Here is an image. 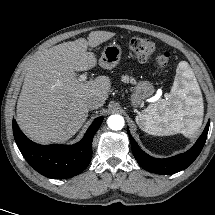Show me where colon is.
I'll return each instance as SVG.
<instances>
[{"mask_svg": "<svg viewBox=\"0 0 215 215\" xmlns=\"http://www.w3.org/2000/svg\"><path fill=\"white\" fill-rule=\"evenodd\" d=\"M129 47L135 58L139 61H146L157 52L156 44L150 39L134 37L129 41ZM170 60V53L167 51L159 52L156 61L160 67H165Z\"/></svg>", "mask_w": 215, "mask_h": 215, "instance_id": "1", "label": "colon"}]
</instances>
